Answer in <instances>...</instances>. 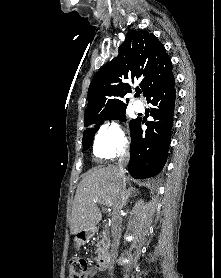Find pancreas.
<instances>
[{
	"mask_svg": "<svg viewBox=\"0 0 221 278\" xmlns=\"http://www.w3.org/2000/svg\"><path fill=\"white\" fill-rule=\"evenodd\" d=\"M108 231L105 229L103 232H102V236H101V240H97V249H96V253H99L101 251V245L103 246V248H106L107 247V236H106V233Z\"/></svg>",
	"mask_w": 221,
	"mask_h": 278,
	"instance_id": "1",
	"label": "pancreas"
}]
</instances>
